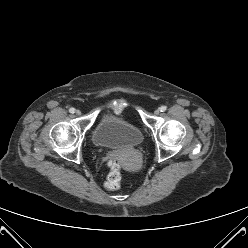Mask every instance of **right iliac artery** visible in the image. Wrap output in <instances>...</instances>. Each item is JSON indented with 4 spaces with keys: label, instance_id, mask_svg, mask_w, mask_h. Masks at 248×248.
<instances>
[{
    "label": "right iliac artery",
    "instance_id": "1",
    "mask_svg": "<svg viewBox=\"0 0 248 248\" xmlns=\"http://www.w3.org/2000/svg\"><path fill=\"white\" fill-rule=\"evenodd\" d=\"M69 112H70V113H74V112H75V109H74V108H70V109H69Z\"/></svg>",
    "mask_w": 248,
    "mask_h": 248
}]
</instances>
